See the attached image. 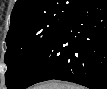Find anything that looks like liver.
I'll use <instances>...</instances> for the list:
<instances>
[{
  "mask_svg": "<svg viewBox=\"0 0 107 89\" xmlns=\"http://www.w3.org/2000/svg\"><path fill=\"white\" fill-rule=\"evenodd\" d=\"M62 85L59 82H49L36 86L35 89H59Z\"/></svg>",
  "mask_w": 107,
  "mask_h": 89,
  "instance_id": "obj_1",
  "label": "liver"
}]
</instances>
